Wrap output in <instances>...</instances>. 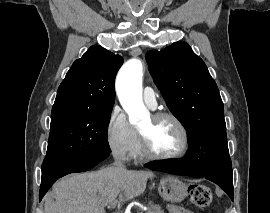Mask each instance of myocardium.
Wrapping results in <instances>:
<instances>
[{"mask_svg":"<svg viewBox=\"0 0 270 213\" xmlns=\"http://www.w3.org/2000/svg\"><path fill=\"white\" fill-rule=\"evenodd\" d=\"M151 117L154 121H159L165 118L171 119L181 131V134L183 137V143H182L181 148L177 152L173 154H168V155H160V154L155 153L151 149L148 136L145 133H143L141 130H139L140 148H141L143 157L148 160H161V161L176 160V159H180L184 157L189 150L190 138H189L188 130L185 124L182 122V120L174 113H171L168 111L155 112L151 115Z\"/></svg>","mask_w":270,"mask_h":213,"instance_id":"f54148a6","label":"myocardium"}]
</instances>
